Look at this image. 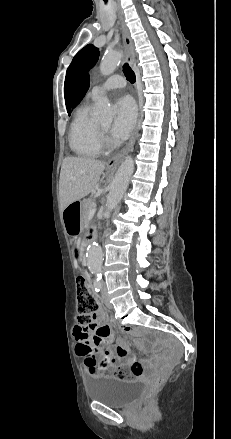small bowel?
Returning a JSON list of instances; mask_svg holds the SVG:
<instances>
[{
    "label": "small bowel",
    "instance_id": "c3829d8e",
    "mask_svg": "<svg viewBox=\"0 0 231 439\" xmlns=\"http://www.w3.org/2000/svg\"><path fill=\"white\" fill-rule=\"evenodd\" d=\"M74 337L77 342L76 353L84 359L85 364L88 359L104 364L105 368L110 365L132 366L139 364L135 357L130 354L129 346L120 344L115 349L110 347L113 342V334L109 325L105 323V311L103 309L95 313L89 326L81 324L75 326Z\"/></svg>",
    "mask_w": 231,
    "mask_h": 439
}]
</instances>
